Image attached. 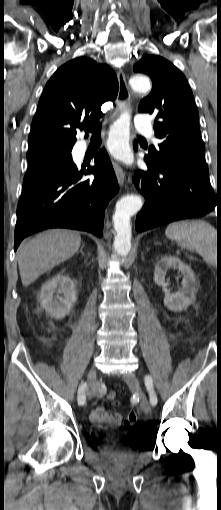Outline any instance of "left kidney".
<instances>
[{"mask_svg": "<svg viewBox=\"0 0 221 510\" xmlns=\"http://www.w3.org/2000/svg\"><path fill=\"white\" fill-rule=\"evenodd\" d=\"M177 268L183 275L182 287L175 293L165 292L164 305L171 311H182L193 301L197 281L191 268L175 256H163L155 266L154 281L158 286H165L168 269Z\"/></svg>", "mask_w": 221, "mask_h": 510, "instance_id": "left-kidney-1", "label": "left kidney"}]
</instances>
